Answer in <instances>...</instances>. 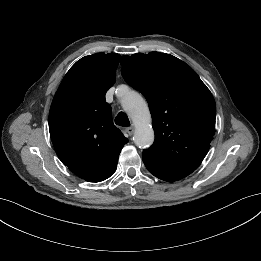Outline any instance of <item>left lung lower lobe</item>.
I'll return each mask as SVG.
<instances>
[{"label": "left lung lower lobe", "instance_id": "0a47b994", "mask_svg": "<svg viewBox=\"0 0 261 261\" xmlns=\"http://www.w3.org/2000/svg\"><path fill=\"white\" fill-rule=\"evenodd\" d=\"M143 162L148 171H150L155 177L169 182L182 179L194 171L192 169L166 166L146 155H143Z\"/></svg>", "mask_w": 261, "mask_h": 261}]
</instances>
